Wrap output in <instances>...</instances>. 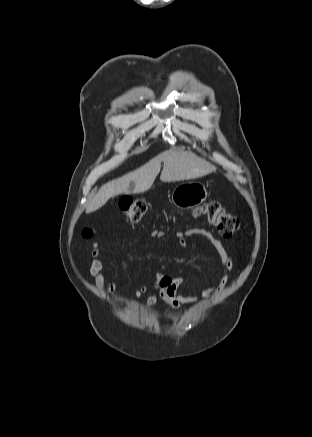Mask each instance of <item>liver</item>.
I'll return each instance as SVG.
<instances>
[{
  "label": "liver",
  "mask_w": 312,
  "mask_h": 437,
  "mask_svg": "<svg viewBox=\"0 0 312 437\" xmlns=\"http://www.w3.org/2000/svg\"><path fill=\"white\" fill-rule=\"evenodd\" d=\"M161 162L164 163L160 175L163 182L195 179L216 171L214 165L192 152L168 150L140 168L102 185L87 206L86 213L98 210L119 194H139L149 190L160 172Z\"/></svg>",
  "instance_id": "1"
}]
</instances>
